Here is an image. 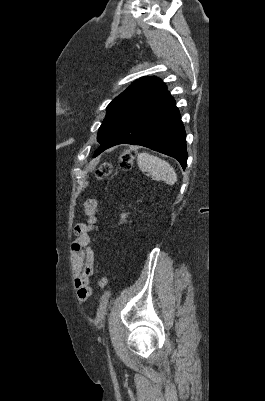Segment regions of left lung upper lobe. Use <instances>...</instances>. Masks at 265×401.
<instances>
[{
  "label": "left lung upper lobe",
  "instance_id": "obj_1",
  "mask_svg": "<svg viewBox=\"0 0 265 401\" xmlns=\"http://www.w3.org/2000/svg\"><path fill=\"white\" fill-rule=\"evenodd\" d=\"M166 91V85L157 77H143L133 82L108 105L97 141L101 144L132 115Z\"/></svg>",
  "mask_w": 265,
  "mask_h": 401
}]
</instances>
